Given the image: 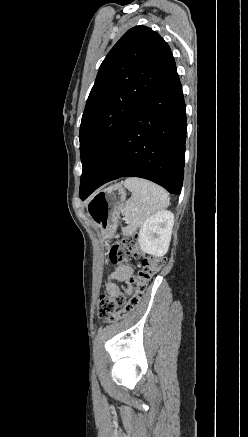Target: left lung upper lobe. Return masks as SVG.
I'll return each mask as SVG.
<instances>
[{
  "instance_id": "obj_1",
  "label": "left lung upper lobe",
  "mask_w": 248,
  "mask_h": 437,
  "mask_svg": "<svg viewBox=\"0 0 248 437\" xmlns=\"http://www.w3.org/2000/svg\"><path fill=\"white\" fill-rule=\"evenodd\" d=\"M174 66L164 39L141 25L128 30L107 54L80 125V197L100 173L129 118Z\"/></svg>"
}]
</instances>
